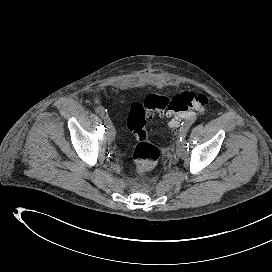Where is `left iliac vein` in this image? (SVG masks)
I'll use <instances>...</instances> for the list:
<instances>
[{
	"label": "left iliac vein",
	"instance_id": "1",
	"mask_svg": "<svg viewBox=\"0 0 272 272\" xmlns=\"http://www.w3.org/2000/svg\"><path fill=\"white\" fill-rule=\"evenodd\" d=\"M186 134H187V133H185V136H186ZM184 148H185V142H179V141H178V143H177V151H178V152H181V151L184 150Z\"/></svg>",
	"mask_w": 272,
	"mask_h": 272
}]
</instances>
